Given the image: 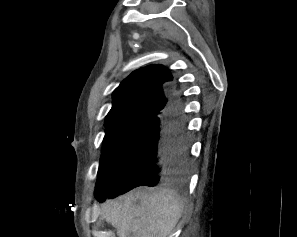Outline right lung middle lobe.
Wrapping results in <instances>:
<instances>
[{
  "label": "right lung middle lobe",
  "instance_id": "1",
  "mask_svg": "<svg viewBox=\"0 0 297 237\" xmlns=\"http://www.w3.org/2000/svg\"><path fill=\"white\" fill-rule=\"evenodd\" d=\"M150 121L149 117H133L105 124L96 192L112 189L118 184L124 162Z\"/></svg>",
  "mask_w": 297,
  "mask_h": 237
}]
</instances>
